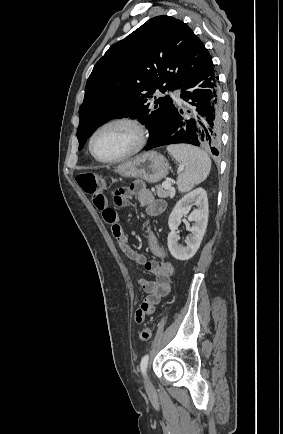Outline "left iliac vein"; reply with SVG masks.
Returning a JSON list of instances; mask_svg holds the SVG:
<instances>
[{
  "label": "left iliac vein",
  "instance_id": "4c4485c4",
  "mask_svg": "<svg viewBox=\"0 0 283 434\" xmlns=\"http://www.w3.org/2000/svg\"><path fill=\"white\" fill-rule=\"evenodd\" d=\"M145 388H146V391H147L148 393H152L153 390H154L153 385H152V383H151V380H150L149 376H146V377H145Z\"/></svg>",
  "mask_w": 283,
  "mask_h": 434
}]
</instances>
